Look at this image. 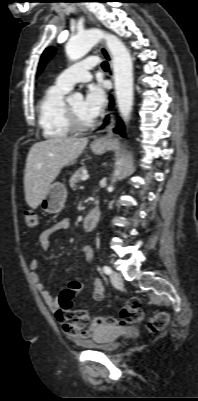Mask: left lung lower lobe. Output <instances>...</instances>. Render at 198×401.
<instances>
[{"label":"left lung lower lobe","instance_id":"0a47b994","mask_svg":"<svg viewBox=\"0 0 198 401\" xmlns=\"http://www.w3.org/2000/svg\"><path fill=\"white\" fill-rule=\"evenodd\" d=\"M110 106H111V108L113 107V100L111 99V102H110ZM108 121V119H106V122ZM114 132H116V133H120V134H122V136H124V126H123V124H122V122L121 121H119V124L117 125V127L114 129Z\"/></svg>","mask_w":198,"mask_h":401}]
</instances>
